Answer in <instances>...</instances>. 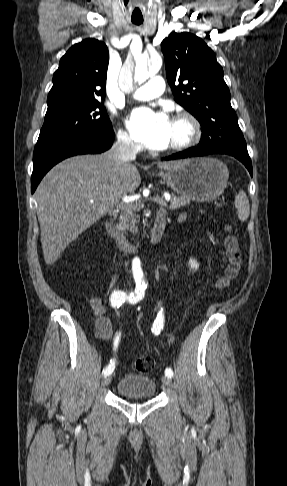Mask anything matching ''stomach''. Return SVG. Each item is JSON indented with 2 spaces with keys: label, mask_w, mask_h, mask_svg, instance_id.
I'll use <instances>...</instances> for the list:
<instances>
[{
  "label": "stomach",
  "mask_w": 287,
  "mask_h": 486,
  "mask_svg": "<svg viewBox=\"0 0 287 486\" xmlns=\"http://www.w3.org/2000/svg\"><path fill=\"white\" fill-rule=\"evenodd\" d=\"M159 176L181 197L206 202L222 194L227 186L229 172L218 159L195 157L183 160Z\"/></svg>",
  "instance_id": "obj_1"
}]
</instances>
